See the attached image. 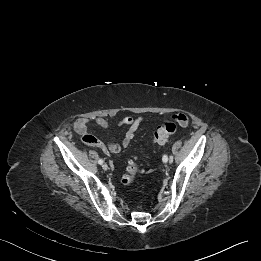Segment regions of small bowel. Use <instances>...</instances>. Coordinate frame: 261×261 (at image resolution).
I'll list each match as a JSON object with an SVG mask.
<instances>
[{
	"mask_svg": "<svg viewBox=\"0 0 261 261\" xmlns=\"http://www.w3.org/2000/svg\"><path fill=\"white\" fill-rule=\"evenodd\" d=\"M174 116H184L188 119V117L185 114L179 113ZM145 121L144 117H131V116H125L122 119L119 120L118 125L124 126L125 132H124V138L121 143H103L99 138L94 136L92 133L88 130V125L90 120L87 118H77L73 122V127L75 131L81 136L82 141L89 146L100 148L103 152L106 154L109 153H119L123 148H126L129 146L130 142L135 136V133L139 126ZM94 122L97 126L103 128V129H110L111 124L102 117H97L94 119ZM181 126H187V125H181Z\"/></svg>",
	"mask_w": 261,
	"mask_h": 261,
	"instance_id": "small-bowel-1",
	"label": "small bowel"
}]
</instances>
